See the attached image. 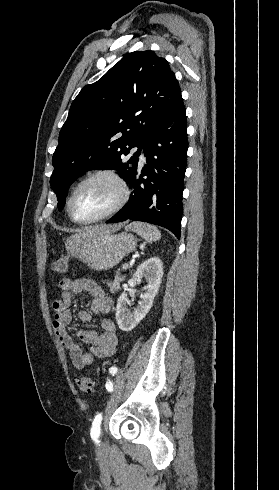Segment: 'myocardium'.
<instances>
[{
  "instance_id": "f54148a6",
  "label": "myocardium",
  "mask_w": 279,
  "mask_h": 490,
  "mask_svg": "<svg viewBox=\"0 0 279 490\" xmlns=\"http://www.w3.org/2000/svg\"><path fill=\"white\" fill-rule=\"evenodd\" d=\"M93 179H108L112 181L118 189V197L107 209H105L95 217L87 220L76 219L73 212V203L77 191L85 182ZM129 196H130V190L128 184L126 180L116 170L111 168H100V169L92 170L86 173L85 175H83L81 178H79V180L74 184L68 201L69 215L72 218V220L77 224L80 225L91 224L103 220L109 216H112L118 211H120L127 203Z\"/></svg>"
}]
</instances>
